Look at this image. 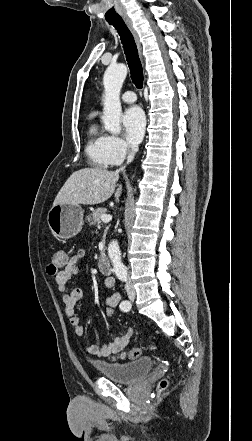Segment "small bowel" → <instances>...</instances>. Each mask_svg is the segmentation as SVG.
Masks as SVG:
<instances>
[{
    "mask_svg": "<svg viewBox=\"0 0 252 441\" xmlns=\"http://www.w3.org/2000/svg\"><path fill=\"white\" fill-rule=\"evenodd\" d=\"M84 255V251H79L69 260L65 269L55 275L56 288L57 291L62 294L65 314L75 333L79 336L83 334V327L80 324L79 317L76 313V305L83 297V289L81 287H76L72 289L71 292H68V285L72 277L78 273L77 263L79 259L84 257ZM104 285L108 289H114V278L106 277L104 279ZM120 299V294L114 292L105 298V305L117 307L120 304ZM133 332L134 330L132 327H126L122 335L115 337L111 342L106 343L101 347L95 345L85 346V350L89 355L94 356L96 359L108 357L121 351L128 344Z\"/></svg>",
    "mask_w": 252,
    "mask_h": 441,
    "instance_id": "c3829d8e",
    "label": "small bowel"
}]
</instances>
